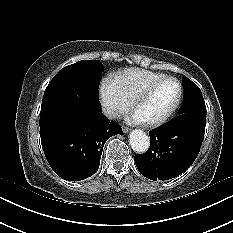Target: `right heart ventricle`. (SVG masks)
I'll return each mask as SVG.
<instances>
[{"instance_id": "e07e8e85", "label": "right heart ventricle", "mask_w": 233, "mask_h": 233, "mask_svg": "<svg viewBox=\"0 0 233 233\" xmlns=\"http://www.w3.org/2000/svg\"><path fill=\"white\" fill-rule=\"evenodd\" d=\"M163 76L152 71L131 68L114 76V81L120 90L129 98H133L151 81Z\"/></svg>"}]
</instances>
